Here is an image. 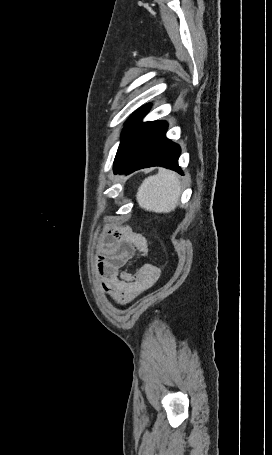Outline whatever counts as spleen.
<instances>
[{
	"instance_id": "obj_1",
	"label": "spleen",
	"mask_w": 272,
	"mask_h": 455,
	"mask_svg": "<svg viewBox=\"0 0 272 455\" xmlns=\"http://www.w3.org/2000/svg\"><path fill=\"white\" fill-rule=\"evenodd\" d=\"M181 194V184L176 173L161 170L146 178L138 188L136 199L140 207L156 213L173 211Z\"/></svg>"
}]
</instances>
